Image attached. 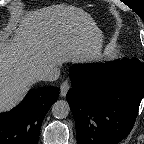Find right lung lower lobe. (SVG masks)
Segmentation results:
<instances>
[{
	"label": "right lung lower lobe",
	"mask_w": 144,
	"mask_h": 144,
	"mask_svg": "<svg viewBox=\"0 0 144 144\" xmlns=\"http://www.w3.org/2000/svg\"><path fill=\"white\" fill-rule=\"evenodd\" d=\"M58 95L57 87L30 90L21 104L0 113V144H38L42 121Z\"/></svg>",
	"instance_id": "98d812e1"
}]
</instances>
